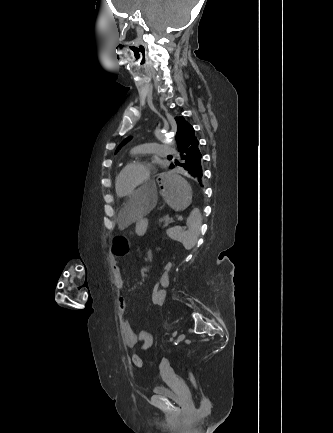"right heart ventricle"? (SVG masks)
Segmentation results:
<instances>
[{
    "label": "right heart ventricle",
    "instance_id": "right-heart-ventricle-1",
    "mask_svg": "<svg viewBox=\"0 0 333 433\" xmlns=\"http://www.w3.org/2000/svg\"><path fill=\"white\" fill-rule=\"evenodd\" d=\"M118 194V193H117ZM120 197H124V195L123 194H118Z\"/></svg>",
    "mask_w": 333,
    "mask_h": 433
}]
</instances>
